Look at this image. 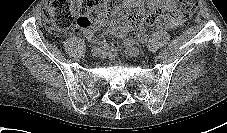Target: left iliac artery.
I'll return each mask as SVG.
<instances>
[{"mask_svg": "<svg viewBox=\"0 0 227 133\" xmlns=\"http://www.w3.org/2000/svg\"><path fill=\"white\" fill-rule=\"evenodd\" d=\"M145 42H146V40L143 41V43H145ZM125 43L128 45L139 44L138 41L131 39V38H128Z\"/></svg>", "mask_w": 227, "mask_h": 133, "instance_id": "obj_1", "label": "left iliac artery"}]
</instances>
